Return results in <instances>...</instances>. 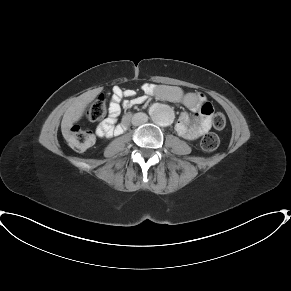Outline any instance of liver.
Here are the masks:
<instances>
[{"label":"liver","instance_id":"6515ba94","mask_svg":"<svg viewBox=\"0 0 291 291\" xmlns=\"http://www.w3.org/2000/svg\"><path fill=\"white\" fill-rule=\"evenodd\" d=\"M101 91L102 88L90 90L83 93L72 102L62 119L61 129L63 133L81 119L87 105L92 102Z\"/></svg>","mask_w":291,"mask_h":291}]
</instances>
